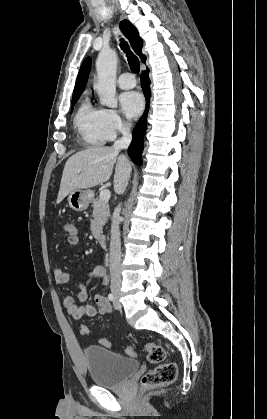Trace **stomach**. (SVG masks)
Masks as SVG:
<instances>
[{
  "mask_svg": "<svg viewBox=\"0 0 267 419\" xmlns=\"http://www.w3.org/2000/svg\"><path fill=\"white\" fill-rule=\"evenodd\" d=\"M92 196L90 190H74L68 196L69 206L77 212L84 211L87 209Z\"/></svg>",
  "mask_w": 267,
  "mask_h": 419,
  "instance_id": "stomach-1",
  "label": "stomach"
}]
</instances>
